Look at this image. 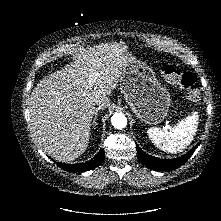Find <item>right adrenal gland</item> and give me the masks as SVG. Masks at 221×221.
Here are the masks:
<instances>
[{
	"label": "right adrenal gland",
	"instance_id": "1",
	"mask_svg": "<svg viewBox=\"0 0 221 221\" xmlns=\"http://www.w3.org/2000/svg\"><path fill=\"white\" fill-rule=\"evenodd\" d=\"M101 109H102V107H98V108H96V110H95V116H94V119H93V122H92V125H94V126L97 125V122H96V120H97V115H98L99 110H101Z\"/></svg>",
	"mask_w": 221,
	"mask_h": 221
}]
</instances>
